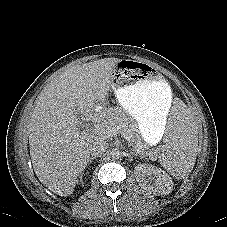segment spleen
I'll return each instance as SVG.
<instances>
[{
	"mask_svg": "<svg viewBox=\"0 0 227 227\" xmlns=\"http://www.w3.org/2000/svg\"><path fill=\"white\" fill-rule=\"evenodd\" d=\"M192 108L185 101L173 104L163 127V143L154 146L152 157L175 178H185L193 169L197 149V126Z\"/></svg>",
	"mask_w": 227,
	"mask_h": 227,
	"instance_id": "3e777b00",
	"label": "spleen"
}]
</instances>
